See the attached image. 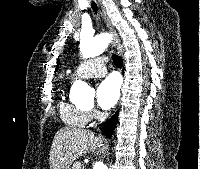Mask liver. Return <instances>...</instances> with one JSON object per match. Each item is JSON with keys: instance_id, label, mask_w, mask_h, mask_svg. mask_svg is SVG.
I'll use <instances>...</instances> for the list:
<instances>
[{"instance_id": "1", "label": "liver", "mask_w": 200, "mask_h": 169, "mask_svg": "<svg viewBox=\"0 0 200 169\" xmlns=\"http://www.w3.org/2000/svg\"><path fill=\"white\" fill-rule=\"evenodd\" d=\"M103 139L94 132L65 127L54 136L50 149V169H70L71 164L101 146Z\"/></svg>"}]
</instances>
